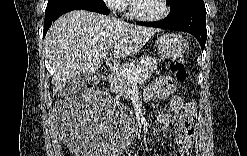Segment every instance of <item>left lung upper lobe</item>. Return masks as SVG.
Wrapping results in <instances>:
<instances>
[{
  "mask_svg": "<svg viewBox=\"0 0 247 156\" xmlns=\"http://www.w3.org/2000/svg\"><path fill=\"white\" fill-rule=\"evenodd\" d=\"M188 1L189 0H170V14L181 10Z\"/></svg>",
  "mask_w": 247,
  "mask_h": 156,
  "instance_id": "obj_1",
  "label": "left lung upper lobe"
}]
</instances>
